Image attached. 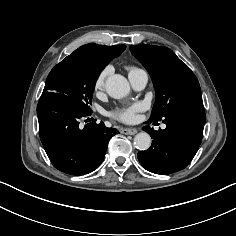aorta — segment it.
I'll use <instances>...</instances> for the list:
<instances>
[{
    "instance_id": "1",
    "label": "aorta",
    "mask_w": 236,
    "mask_h": 236,
    "mask_svg": "<svg viewBox=\"0 0 236 236\" xmlns=\"http://www.w3.org/2000/svg\"><path fill=\"white\" fill-rule=\"evenodd\" d=\"M105 88L107 93L115 99H121L130 93L129 82L120 74L109 76L105 82ZM134 144L139 150H147L151 146V137L146 132L138 133L134 138Z\"/></svg>"
}]
</instances>
